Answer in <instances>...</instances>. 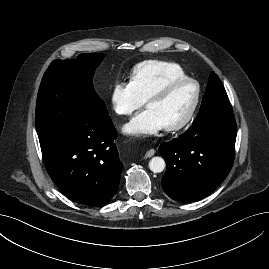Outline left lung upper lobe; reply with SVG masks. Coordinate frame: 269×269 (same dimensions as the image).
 <instances>
[{
	"label": "left lung upper lobe",
	"instance_id": "obj_1",
	"mask_svg": "<svg viewBox=\"0 0 269 269\" xmlns=\"http://www.w3.org/2000/svg\"><path fill=\"white\" fill-rule=\"evenodd\" d=\"M233 114L227 93L219 77L212 72L200 111L194 122Z\"/></svg>",
	"mask_w": 269,
	"mask_h": 269
}]
</instances>
